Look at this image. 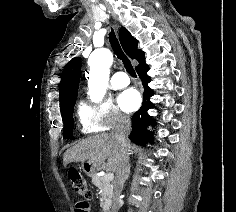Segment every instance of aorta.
Listing matches in <instances>:
<instances>
[{"instance_id": "1", "label": "aorta", "mask_w": 236, "mask_h": 212, "mask_svg": "<svg viewBox=\"0 0 236 212\" xmlns=\"http://www.w3.org/2000/svg\"><path fill=\"white\" fill-rule=\"evenodd\" d=\"M112 62L113 55L108 49L95 50L88 59L90 66L88 88L93 102L101 101L106 93Z\"/></svg>"}]
</instances>
